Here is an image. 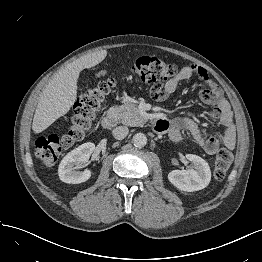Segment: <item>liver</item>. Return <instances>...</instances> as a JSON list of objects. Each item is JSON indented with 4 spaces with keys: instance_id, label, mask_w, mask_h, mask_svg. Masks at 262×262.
Masks as SVG:
<instances>
[{
    "instance_id": "obj_1",
    "label": "liver",
    "mask_w": 262,
    "mask_h": 262,
    "mask_svg": "<svg viewBox=\"0 0 262 262\" xmlns=\"http://www.w3.org/2000/svg\"><path fill=\"white\" fill-rule=\"evenodd\" d=\"M106 56V50L87 54L71 62L53 76L38 102L32 123L34 133H41L58 118L67 114L76 101L80 72L98 65Z\"/></svg>"
}]
</instances>
